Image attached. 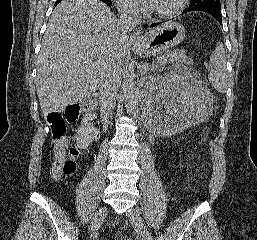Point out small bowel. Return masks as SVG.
Returning a JSON list of instances; mask_svg holds the SVG:
<instances>
[{
    "label": "small bowel",
    "mask_w": 257,
    "mask_h": 240,
    "mask_svg": "<svg viewBox=\"0 0 257 240\" xmlns=\"http://www.w3.org/2000/svg\"><path fill=\"white\" fill-rule=\"evenodd\" d=\"M67 148L68 142L66 138L61 137L53 141V151L55 156H64L66 154Z\"/></svg>",
    "instance_id": "obj_1"
}]
</instances>
